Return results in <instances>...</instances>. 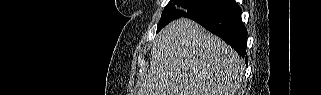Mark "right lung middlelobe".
<instances>
[{
  "mask_svg": "<svg viewBox=\"0 0 321 95\" xmlns=\"http://www.w3.org/2000/svg\"><path fill=\"white\" fill-rule=\"evenodd\" d=\"M212 0H170L160 18L157 32L174 19L187 15L206 6Z\"/></svg>",
  "mask_w": 321,
  "mask_h": 95,
  "instance_id": "obj_1",
  "label": "right lung middle lobe"
}]
</instances>
